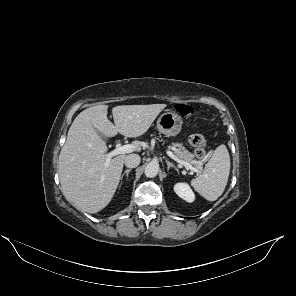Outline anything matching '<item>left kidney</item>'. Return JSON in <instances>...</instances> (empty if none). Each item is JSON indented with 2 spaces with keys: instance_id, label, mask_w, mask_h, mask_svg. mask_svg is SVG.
Segmentation results:
<instances>
[{
  "instance_id": "5707ae66",
  "label": "left kidney",
  "mask_w": 296,
  "mask_h": 296,
  "mask_svg": "<svg viewBox=\"0 0 296 296\" xmlns=\"http://www.w3.org/2000/svg\"><path fill=\"white\" fill-rule=\"evenodd\" d=\"M175 193L185 201L191 203L195 200V195L188 184L177 183L174 186Z\"/></svg>"
}]
</instances>
